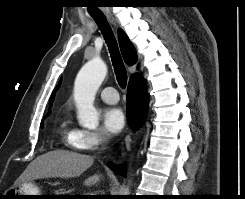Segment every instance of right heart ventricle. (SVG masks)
Returning <instances> with one entry per match:
<instances>
[{"label": "right heart ventricle", "mask_w": 245, "mask_h": 199, "mask_svg": "<svg viewBox=\"0 0 245 199\" xmlns=\"http://www.w3.org/2000/svg\"><path fill=\"white\" fill-rule=\"evenodd\" d=\"M59 127L67 145L75 151L82 150L78 145L79 130L73 125L69 115L61 118Z\"/></svg>", "instance_id": "right-heart-ventricle-1"}]
</instances>
